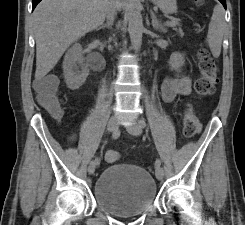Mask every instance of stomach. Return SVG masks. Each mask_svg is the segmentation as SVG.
I'll return each instance as SVG.
<instances>
[{"label": "stomach", "mask_w": 245, "mask_h": 225, "mask_svg": "<svg viewBox=\"0 0 245 225\" xmlns=\"http://www.w3.org/2000/svg\"><path fill=\"white\" fill-rule=\"evenodd\" d=\"M163 13L172 14L177 10L176 0H151Z\"/></svg>", "instance_id": "stomach-1"}]
</instances>
